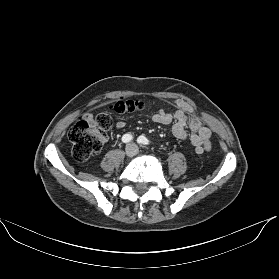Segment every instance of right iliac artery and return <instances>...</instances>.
Returning a JSON list of instances; mask_svg holds the SVG:
<instances>
[{
	"instance_id": "obj_1",
	"label": "right iliac artery",
	"mask_w": 279,
	"mask_h": 279,
	"mask_svg": "<svg viewBox=\"0 0 279 279\" xmlns=\"http://www.w3.org/2000/svg\"><path fill=\"white\" fill-rule=\"evenodd\" d=\"M132 139H133V137H132V135H130V134H125V135H123V137H122V141H123L124 143L130 142Z\"/></svg>"
}]
</instances>
